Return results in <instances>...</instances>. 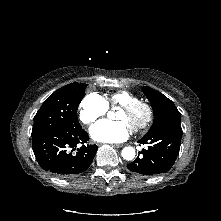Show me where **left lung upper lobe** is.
Listing matches in <instances>:
<instances>
[{
    "label": "left lung upper lobe",
    "instance_id": "left-lung-upper-lobe-1",
    "mask_svg": "<svg viewBox=\"0 0 221 221\" xmlns=\"http://www.w3.org/2000/svg\"><path fill=\"white\" fill-rule=\"evenodd\" d=\"M142 91L154 112V122L147 134L163 127L181 128V114L170 99L150 87H143Z\"/></svg>",
    "mask_w": 221,
    "mask_h": 221
}]
</instances>
